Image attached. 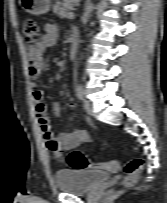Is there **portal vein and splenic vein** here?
Masks as SVG:
<instances>
[{
  "instance_id": "obj_1",
  "label": "portal vein and splenic vein",
  "mask_w": 167,
  "mask_h": 203,
  "mask_svg": "<svg viewBox=\"0 0 167 203\" xmlns=\"http://www.w3.org/2000/svg\"><path fill=\"white\" fill-rule=\"evenodd\" d=\"M73 16H74L73 13H69V14H68V18H72Z\"/></svg>"
}]
</instances>
